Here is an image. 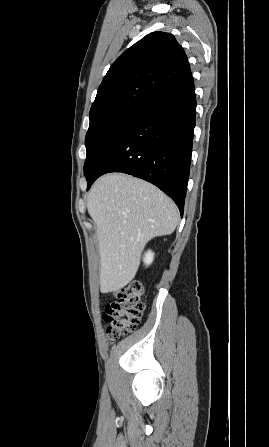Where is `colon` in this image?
Listing matches in <instances>:
<instances>
[{
  "instance_id": "obj_1",
  "label": "colon",
  "mask_w": 269,
  "mask_h": 447,
  "mask_svg": "<svg viewBox=\"0 0 269 447\" xmlns=\"http://www.w3.org/2000/svg\"><path fill=\"white\" fill-rule=\"evenodd\" d=\"M144 295L145 288L139 281H133L113 292V300L104 310V318L108 324L106 332L110 341L124 337L141 323L145 310Z\"/></svg>"
}]
</instances>
